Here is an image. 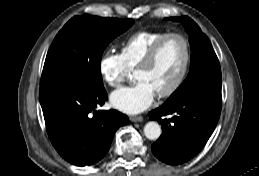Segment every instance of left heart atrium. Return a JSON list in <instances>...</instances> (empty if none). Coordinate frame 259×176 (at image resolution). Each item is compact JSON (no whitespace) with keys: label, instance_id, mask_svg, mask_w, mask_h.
<instances>
[{"label":"left heart atrium","instance_id":"1","mask_svg":"<svg viewBox=\"0 0 259 176\" xmlns=\"http://www.w3.org/2000/svg\"><path fill=\"white\" fill-rule=\"evenodd\" d=\"M155 90L145 81H138L132 86L114 91L110 96L114 108L128 113L137 114L146 110L154 101Z\"/></svg>","mask_w":259,"mask_h":176}]
</instances>
